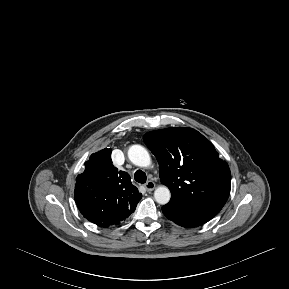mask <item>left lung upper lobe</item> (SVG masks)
<instances>
[{
	"label": "left lung upper lobe",
	"instance_id": "5c2ea615",
	"mask_svg": "<svg viewBox=\"0 0 289 289\" xmlns=\"http://www.w3.org/2000/svg\"><path fill=\"white\" fill-rule=\"evenodd\" d=\"M143 140L157 158L172 201L220 212L230 194L231 172L207 138L192 128L172 127L148 132Z\"/></svg>",
	"mask_w": 289,
	"mask_h": 289
}]
</instances>
